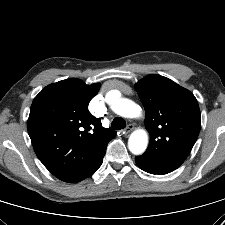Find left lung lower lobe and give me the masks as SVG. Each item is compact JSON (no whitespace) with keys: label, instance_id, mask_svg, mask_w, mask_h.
Listing matches in <instances>:
<instances>
[{"label":"left lung lower lobe","instance_id":"0a47b994","mask_svg":"<svg viewBox=\"0 0 225 225\" xmlns=\"http://www.w3.org/2000/svg\"><path fill=\"white\" fill-rule=\"evenodd\" d=\"M137 165L144 171L151 174L164 175L177 169L178 167L158 160L150 155L143 154L135 157Z\"/></svg>","mask_w":225,"mask_h":225}]
</instances>
